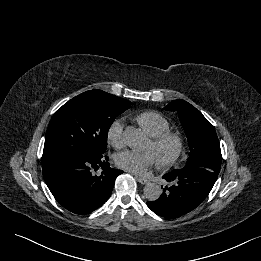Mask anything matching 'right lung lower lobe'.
I'll return each mask as SVG.
<instances>
[{
    "mask_svg": "<svg viewBox=\"0 0 261 261\" xmlns=\"http://www.w3.org/2000/svg\"><path fill=\"white\" fill-rule=\"evenodd\" d=\"M100 153H61L42 157L44 180L51 193L67 210L86 215L110 197L115 179L122 170L109 166ZM103 168L96 176L93 170Z\"/></svg>",
    "mask_w": 261,
    "mask_h": 261,
    "instance_id": "obj_1",
    "label": "right lung lower lobe"
}]
</instances>
